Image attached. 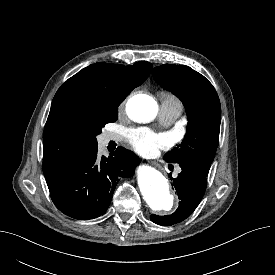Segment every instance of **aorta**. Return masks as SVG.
Masks as SVG:
<instances>
[{
	"mask_svg": "<svg viewBox=\"0 0 275 275\" xmlns=\"http://www.w3.org/2000/svg\"><path fill=\"white\" fill-rule=\"evenodd\" d=\"M128 116L139 123L150 122L158 112L155 99L146 94H137L126 105ZM140 191L154 211H169L173 207L174 196L169 191L167 179L151 166H141L137 171Z\"/></svg>",
	"mask_w": 275,
	"mask_h": 275,
	"instance_id": "aorta-1",
	"label": "aorta"
}]
</instances>
